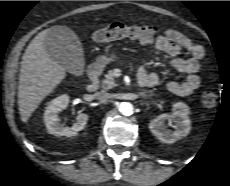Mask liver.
<instances>
[{
	"mask_svg": "<svg viewBox=\"0 0 230 186\" xmlns=\"http://www.w3.org/2000/svg\"><path fill=\"white\" fill-rule=\"evenodd\" d=\"M48 30H43L35 36L22 57L18 106L24 123L66 76L65 68L55 62L46 51L44 41Z\"/></svg>",
	"mask_w": 230,
	"mask_h": 186,
	"instance_id": "liver-1",
	"label": "liver"
}]
</instances>
